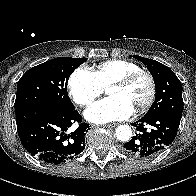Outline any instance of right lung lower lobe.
Here are the masks:
<instances>
[{"instance_id": "obj_1", "label": "right lung lower lobe", "mask_w": 196, "mask_h": 196, "mask_svg": "<svg viewBox=\"0 0 196 196\" xmlns=\"http://www.w3.org/2000/svg\"><path fill=\"white\" fill-rule=\"evenodd\" d=\"M80 123L69 133L73 123ZM17 131L23 147L40 161L58 165L76 158L85 148L89 128L75 110L38 104L16 114Z\"/></svg>"}]
</instances>
